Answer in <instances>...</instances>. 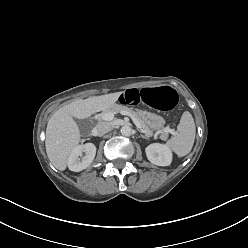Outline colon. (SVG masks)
Instances as JSON below:
<instances>
[{
    "label": "colon",
    "instance_id": "1",
    "mask_svg": "<svg viewBox=\"0 0 248 248\" xmlns=\"http://www.w3.org/2000/svg\"><path fill=\"white\" fill-rule=\"evenodd\" d=\"M117 101L125 105L147 103L158 110L171 111L178 104V96L168 86L141 89L131 88L124 93L118 94Z\"/></svg>",
    "mask_w": 248,
    "mask_h": 248
}]
</instances>
